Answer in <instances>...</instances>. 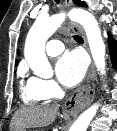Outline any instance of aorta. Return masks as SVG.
<instances>
[{"label": "aorta", "mask_w": 117, "mask_h": 131, "mask_svg": "<svg viewBox=\"0 0 117 131\" xmlns=\"http://www.w3.org/2000/svg\"><path fill=\"white\" fill-rule=\"evenodd\" d=\"M68 16L72 21L78 22L83 26L95 66L101 75H105V44L97 20L91 13L79 8L72 9ZM65 17V13L55 14L51 17L39 16L28 32L24 56L29 67L39 77L49 78L53 74L45 54V43L61 26ZM98 107L99 104L95 103L85 110L73 123L70 131H86L91 120L96 115Z\"/></svg>", "instance_id": "aorta-1"}]
</instances>
